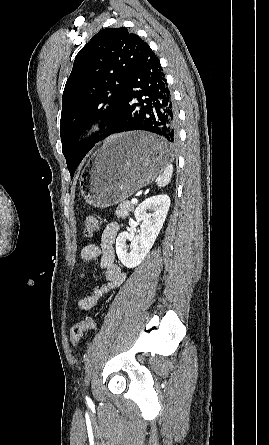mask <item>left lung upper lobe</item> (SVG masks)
<instances>
[{"label":"left lung upper lobe","mask_w":269,"mask_h":445,"mask_svg":"<svg viewBox=\"0 0 269 445\" xmlns=\"http://www.w3.org/2000/svg\"><path fill=\"white\" fill-rule=\"evenodd\" d=\"M148 44L124 27L99 31L76 55L62 97L60 136L67 168H76L99 139L78 142L96 120L109 129L121 116L128 81Z\"/></svg>","instance_id":"1"}]
</instances>
